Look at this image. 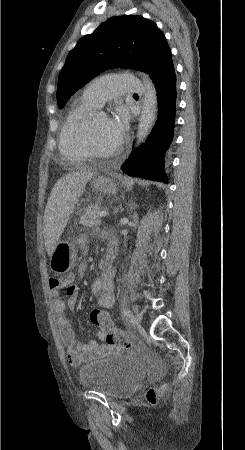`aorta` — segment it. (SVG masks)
<instances>
[{"label": "aorta", "instance_id": "762f6f07", "mask_svg": "<svg viewBox=\"0 0 245 450\" xmlns=\"http://www.w3.org/2000/svg\"><path fill=\"white\" fill-rule=\"evenodd\" d=\"M144 84V97L137 129V144H142L150 133L157 112V93L150 77L140 73Z\"/></svg>", "mask_w": 245, "mask_h": 450}]
</instances>
